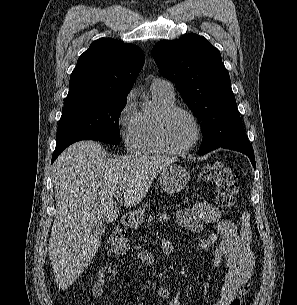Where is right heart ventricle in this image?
I'll list each match as a JSON object with an SVG mask.
<instances>
[{"label":"right heart ventricle","mask_w":297,"mask_h":305,"mask_svg":"<svg viewBox=\"0 0 297 305\" xmlns=\"http://www.w3.org/2000/svg\"><path fill=\"white\" fill-rule=\"evenodd\" d=\"M151 90L155 107L152 110H142L138 113V126L132 149L135 153L139 154H160L163 152L155 142L154 122L160 110L175 103L174 97H169L158 90Z\"/></svg>","instance_id":"e07e8e85"}]
</instances>
